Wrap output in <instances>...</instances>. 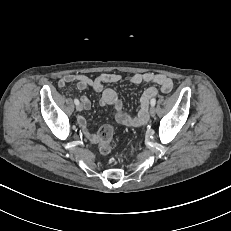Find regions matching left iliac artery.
Returning <instances> with one entry per match:
<instances>
[{
  "mask_svg": "<svg viewBox=\"0 0 231 231\" xmlns=\"http://www.w3.org/2000/svg\"><path fill=\"white\" fill-rule=\"evenodd\" d=\"M150 104H151V106H152V107H154V106H155V104H156V99H155V98H153V99L150 101Z\"/></svg>",
  "mask_w": 231,
  "mask_h": 231,
  "instance_id": "left-iliac-artery-1",
  "label": "left iliac artery"
}]
</instances>
